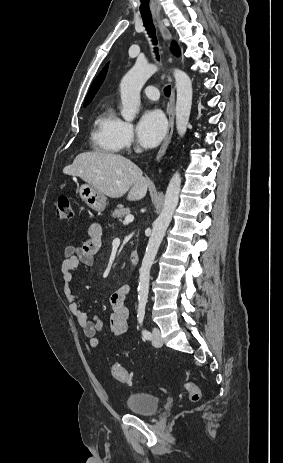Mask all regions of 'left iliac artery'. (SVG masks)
Masks as SVG:
<instances>
[{
	"mask_svg": "<svg viewBox=\"0 0 283 463\" xmlns=\"http://www.w3.org/2000/svg\"><path fill=\"white\" fill-rule=\"evenodd\" d=\"M146 303H147L146 299H140L139 300L137 319H138V322H139L140 326H142V324H143V320H144V316H145ZM142 334H143L144 338L147 339V340H150L151 337H152L151 333L149 331H147L146 329H142Z\"/></svg>",
	"mask_w": 283,
	"mask_h": 463,
	"instance_id": "44dca946",
	"label": "left iliac artery"
}]
</instances>
